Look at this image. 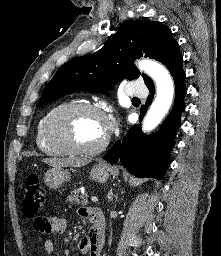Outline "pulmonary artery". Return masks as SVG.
Instances as JSON below:
<instances>
[{
	"mask_svg": "<svg viewBox=\"0 0 221 256\" xmlns=\"http://www.w3.org/2000/svg\"><path fill=\"white\" fill-rule=\"evenodd\" d=\"M125 92L131 97H145L148 94V89L143 82L133 81L127 85Z\"/></svg>",
	"mask_w": 221,
	"mask_h": 256,
	"instance_id": "e3ab8cb5",
	"label": "pulmonary artery"
}]
</instances>
